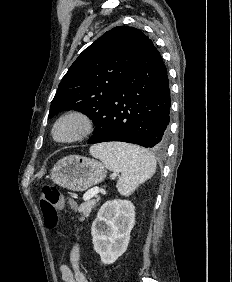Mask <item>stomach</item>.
<instances>
[{
	"mask_svg": "<svg viewBox=\"0 0 232 282\" xmlns=\"http://www.w3.org/2000/svg\"><path fill=\"white\" fill-rule=\"evenodd\" d=\"M106 173L104 166L97 160L70 155L54 165L50 178L61 187L81 192L102 182Z\"/></svg>",
	"mask_w": 232,
	"mask_h": 282,
	"instance_id": "stomach-1",
	"label": "stomach"
}]
</instances>
